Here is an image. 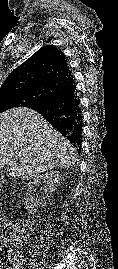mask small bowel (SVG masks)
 Listing matches in <instances>:
<instances>
[{
    "label": "small bowel",
    "instance_id": "obj_1",
    "mask_svg": "<svg viewBox=\"0 0 118 269\" xmlns=\"http://www.w3.org/2000/svg\"><path fill=\"white\" fill-rule=\"evenodd\" d=\"M11 269H23V267L20 264H16Z\"/></svg>",
    "mask_w": 118,
    "mask_h": 269
}]
</instances>
